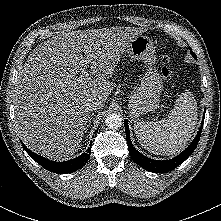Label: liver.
Listing matches in <instances>:
<instances>
[{
    "instance_id": "1",
    "label": "liver",
    "mask_w": 221,
    "mask_h": 221,
    "mask_svg": "<svg viewBox=\"0 0 221 221\" xmlns=\"http://www.w3.org/2000/svg\"><path fill=\"white\" fill-rule=\"evenodd\" d=\"M140 33L131 27L71 31L37 46L15 87V127L25 145L56 161L75 154L90 118L87 102L107 100L114 89L109 79ZM86 65L94 78L82 80Z\"/></svg>"
}]
</instances>
